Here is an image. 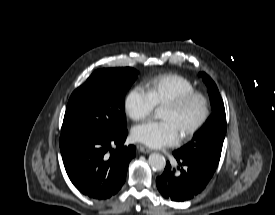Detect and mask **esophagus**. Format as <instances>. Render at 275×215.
<instances>
[{"label": "esophagus", "instance_id": "1", "mask_svg": "<svg viewBox=\"0 0 275 215\" xmlns=\"http://www.w3.org/2000/svg\"><path fill=\"white\" fill-rule=\"evenodd\" d=\"M137 149L142 153H150L151 150L143 145H137Z\"/></svg>", "mask_w": 275, "mask_h": 215}]
</instances>
